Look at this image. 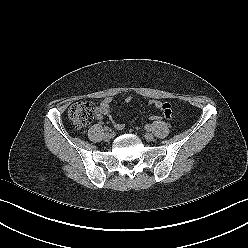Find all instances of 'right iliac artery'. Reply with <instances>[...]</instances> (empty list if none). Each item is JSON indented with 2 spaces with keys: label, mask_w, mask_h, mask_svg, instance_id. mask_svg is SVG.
Instances as JSON below:
<instances>
[{
  "label": "right iliac artery",
  "mask_w": 248,
  "mask_h": 248,
  "mask_svg": "<svg viewBox=\"0 0 248 248\" xmlns=\"http://www.w3.org/2000/svg\"><path fill=\"white\" fill-rule=\"evenodd\" d=\"M104 131H111V129L108 126H104Z\"/></svg>",
  "instance_id": "obj_1"
}]
</instances>
